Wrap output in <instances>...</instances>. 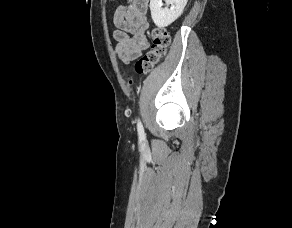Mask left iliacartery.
I'll list each match as a JSON object with an SVG mask.
<instances>
[{
	"label": "left iliac artery",
	"mask_w": 292,
	"mask_h": 228,
	"mask_svg": "<svg viewBox=\"0 0 292 228\" xmlns=\"http://www.w3.org/2000/svg\"><path fill=\"white\" fill-rule=\"evenodd\" d=\"M137 130H138L139 136L144 137V128H143V125H142L140 119L137 120Z\"/></svg>",
	"instance_id": "obj_1"
}]
</instances>
